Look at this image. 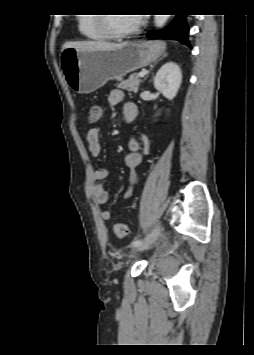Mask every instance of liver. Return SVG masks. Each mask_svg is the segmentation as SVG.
<instances>
[{
    "mask_svg": "<svg viewBox=\"0 0 254 355\" xmlns=\"http://www.w3.org/2000/svg\"><path fill=\"white\" fill-rule=\"evenodd\" d=\"M124 43H110L106 41H75L67 42L63 45L62 50L65 48H74L77 50H105V49H114L123 46Z\"/></svg>",
    "mask_w": 254,
    "mask_h": 355,
    "instance_id": "6515ba94",
    "label": "liver"
}]
</instances>
